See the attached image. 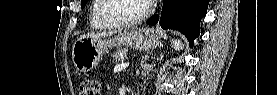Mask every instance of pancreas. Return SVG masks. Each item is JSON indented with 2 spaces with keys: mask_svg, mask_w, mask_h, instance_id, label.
Here are the masks:
<instances>
[{
  "mask_svg": "<svg viewBox=\"0 0 277 95\" xmlns=\"http://www.w3.org/2000/svg\"><path fill=\"white\" fill-rule=\"evenodd\" d=\"M126 57H127V54L125 50H118L112 55V62L115 65H118L122 63Z\"/></svg>",
  "mask_w": 277,
  "mask_h": 95,
  "instance_id": "pancreas-1",
  "label": "pancreas"
}]
</instances>
